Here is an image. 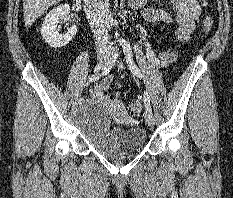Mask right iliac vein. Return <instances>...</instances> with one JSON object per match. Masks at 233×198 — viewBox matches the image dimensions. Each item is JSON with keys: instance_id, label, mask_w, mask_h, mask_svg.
<instances>
[{"instance_id": "obj_1", "label": "right iliac vein", "mask_w": 233, "mask_h": 198, "mask_svg": "<svg viewBox=\"0 0 233 198\" xmlns=\"http://www.w3.org/2000/svg\"><path fill=\"white\" fill-rule=\"evenodd\" d=\"M109 60V53L106 51H100L97 54V66L101 69ZM86 105H81L78 107V111H82Z\"/></svg>"}]
</instances>
